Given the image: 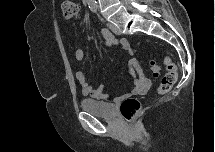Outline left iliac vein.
<instances>
[{"label":"left iliac vein","mask_w":215,"mask_h":152,"mask_svg":"<svg viewBox=\"0 0 215 152\" xmlns=\"http://www.w3.org/2000/svg\"><path fill=\"white\" fill-rule=\"evenodd\" d=\"M107 25H108L109 29L112 32H114L115 34H118V35L121 34V31L119 30V28L115 24L108 22Z\"/></svg>","instance_id":"obj_1"}]
</instances>
